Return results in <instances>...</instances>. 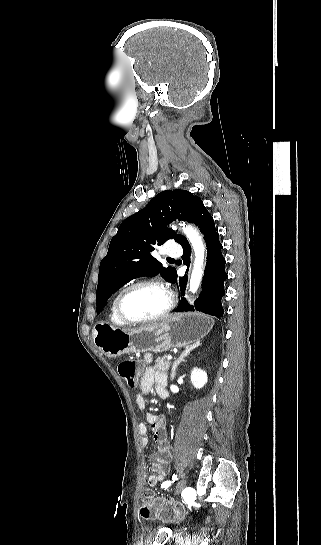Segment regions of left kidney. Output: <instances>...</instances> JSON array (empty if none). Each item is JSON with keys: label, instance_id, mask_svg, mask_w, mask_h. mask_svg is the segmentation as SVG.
<instances>
[{"label": "left kidney", "instance_id": "left-kidney-1", "mask_svg": "<svg viewBox=\"0 0 321 545\" xmlns=\"http://www.w3.org/2000/svg\"><path fill=\"white\" fill-rule=\"evenodd\" d=\"M208 381L206 371L202 369H193L191 373V383L194 385L195 389H202Z\"/></svg>", "mask_w": 321, "mask_h": 545}]
</instances>
